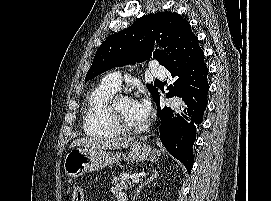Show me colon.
I'll return each mask as SVG.
<instances>
[{
    "mask_svg": "<svg viewBox=\"0 0 271 201\" xmlns=\"http://www.w3.org/2000/svg\"><path fill=\"white\" fill-rule=\"evenodd\" d=\"M84 188L80 185L75 186L72 192V201H84Z\"/></svg>",
    "mask_w": 271,
    "mask_h": 201,
    "instance_id": "colon-1",
    "label": "colon"
}]
</instances>
